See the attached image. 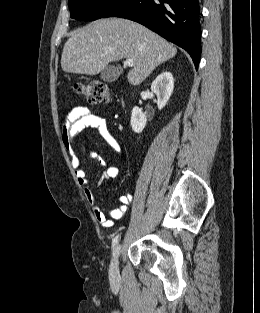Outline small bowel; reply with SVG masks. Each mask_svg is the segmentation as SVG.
<instances>
[{
    "label": "small bowel",
    "mask_w": 260,
    "mask_h": 313,
    "mask_svg": "<svg viewBox=\"0 0 260 313\" xmlns=\"http://www.w3.org/2000/svg\"><path fill=\"white\" fill-rule=\"evenodd\" d=\"M86 128H96L99 130L101 137L106 143L117 153H121L122 146L116 137L110 132L108 128V120L102 116L96 115L91 112L88 107L78 106L73 108L67 115L63 124L61 140L71 158V166L75 171V176L78 183L84 190V194L88 203L93 209L94 216L98 223L105 227L110 228L114 222L120 219L127 211L128 206L133 200L132 194H126L120 197L121 205L106 214L100 208L96 197L88 183L86 173L81 168L80 160L75 152V139L77 135ZM95 156V154H92ZM120 167L113 165L107 167L101 177V180H109L118 177Z\"/></svg>",
    "instance_id": "1"
}]
</instances>
